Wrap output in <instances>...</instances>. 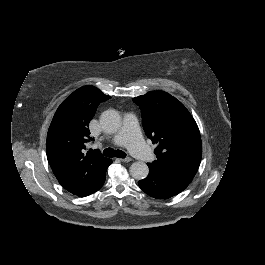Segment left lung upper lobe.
Returning <instances> with one entry per match:
<instances>
[{"mask_svg": "<svg viewBox=\"0 0 265 265\" xmlns=\"http://www.w3.org/2000/svg\"><path fill=\"white\" fill-rule=\"evenodd\" d=\"M133 101L142 111L146 135L157 143L155 171L194 177L202 157L198 126L185 106L170 94L151 91Z\"/></svg>", "mask_w": 265, "mask_h": 265, "instance_id": "obj_1", "label": "left lung upper lobe"}]
</instances>
